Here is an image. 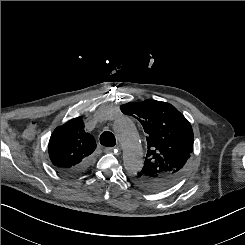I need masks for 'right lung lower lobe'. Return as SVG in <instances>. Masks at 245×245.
Masks as SVG:
<instances>
[{
    "mask_svg": "<svg viewBox=\"0 0 245 245\" xmlns=\"http://www.w3.org/2000/svg\"><path fill=\"white\" fill-rule=\"evenodd\" d=\"M89 165H90V158L71 170H61V169L60 170L66 174L76 175L85 171L89 167Z\"/></svg>",
    "mask_w": 245,
    "mask_h": 245,
    "instance_id": "obj_1",
    "label": "right lung lower lobe"
}]
</instances>
